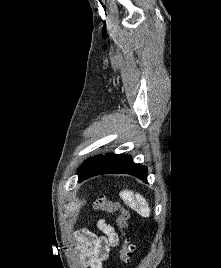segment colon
<instances>
[{"label":"colon","instance_id":"obj_1","mask_svg":"<svg viewBox=\"0 0 221 268\" xmlns=\"http://www.w3.org/2000/svg\"><path fill=\"white\" fill-rule=\"evenodd\" d=\"M93 207L96 210H100L106 213H118L116 220V226L122 234L123 242L120 250V261L122 264L127 265L131 262L134 252V244L131 242L130 238L126 235L125 229L129 225L130 214L126 208L117 202L108 200L105 196H98Z\"/></svg>","mask_w":221,"mask_h":268}]
</instances>
